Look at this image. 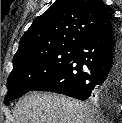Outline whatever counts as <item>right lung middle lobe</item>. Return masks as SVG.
<instances>
[{
	"label": "right lung middle lobe",
	"mask_w": 122,
	"mask_h": 123,
	"mask_svg": "<svg viewBox=\"0 0 122 123\" xmlns=\"http://www.w3.org/2000/svg\"><path fill=\"white\" fill-rule=\"evenodd\" d=\"M76 54V49H62L38 54L13 62L5 96V104L17 99L34 87L47 80L69 64Z\"/></svg>",
	"instance_id": "obj_1"
}]
</instances>
